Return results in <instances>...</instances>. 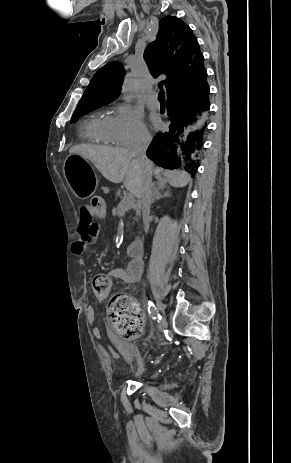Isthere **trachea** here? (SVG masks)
<instances>
[{
  "mask_svg": "<svg viewBox=\"0 0 291 463\" xmlns=\"http://www.w3.org/2000/svg\"><path fill=\"white\" fill-rule=\"evenodd\" d=\"M158 99L160 102H165V94H164V91L161 90L158 94Z\"/></svg>",
  "mask_w": 291,
  "mask_h": 463,
  "instance_id": "3493384b",
  "label": "trachea"
}]
</instances>
